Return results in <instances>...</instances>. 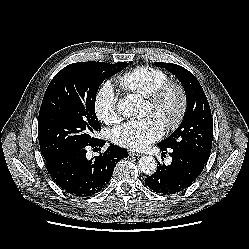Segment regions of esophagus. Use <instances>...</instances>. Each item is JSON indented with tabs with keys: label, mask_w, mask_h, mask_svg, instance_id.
<instances>
[{
	"label": "esophagus",
	"mask_w": 249,
	"mask_h": 249,
	"mask_svg": "<svg viewBox=\"0 0 249 249\" xmlns=\"http://www.w3.org/2000/svg\"><path fill=\"white\" fill-rule=\"evenodd\" d=\"M129 155H130V156H136V157L141 156L140 153H137V152H134V151H129Z\"/></svg>",
	"instance_id": "obj_1"
}]
</instances>
